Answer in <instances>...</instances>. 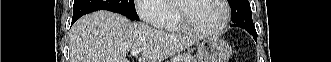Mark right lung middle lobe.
<instances>
[{
    "mask_svg": "<svg viewBox=\"0 0 331 62\" xmlns=\"http://www.w3.org/2000/svg\"><path fill=\"white\" fill-rule=\"evenodd\" d=\"M97 10L120 13L131 20H139L134 0H74L73 18H79Z\"/></svg>",
    "mask_w": 331,
    "mask_h": 62,
    "instance_id": "obj_1",
    "label": "right lung middle lobe"
}]
</instances>
